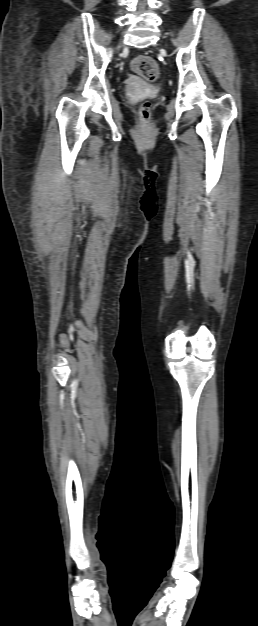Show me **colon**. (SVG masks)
Wrapping results in <instances>:
<instances>
[{
	"label": "colon",
	"instance_id": "5ec220e1",
	"mask_svg": "<svg viewBox=\"0 0 258 626\" xmlns=\"http://www.w3.org/2000/svg\"><path fill=\"white\" fill-rule=\"evenodd\" d=\"M132 69L137 75H139L140 77H142L143 79L149 82L155 81L159 76L158 64L150 56H146V55L137 56L132 61ZM150 110H151L150 102L145 101L141 104L140 115H141V121L143 125H146L149 121Z\"/></svg>",
	"mask_w": 258,
	"mask_h": 626
}]
</instances>
